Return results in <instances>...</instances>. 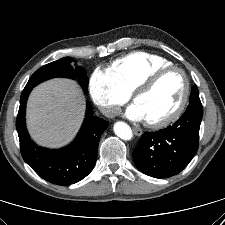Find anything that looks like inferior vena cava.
<instances>
[{"mask_svg":"<svg viewBox=\"0 0 225 225\" xmlns=\"http://www.w3.org/2000/svg\"><path fill=\"white\" fill-rule=\"evenodd\" d=\"M119 107H104L101 109V112L103 115H105L106 117L112 118L115 116V114L118 112Z\"/></svg>","mask_w":225,"mask_h":225,"instance_id":"obj_1","label":"inferior vena cava"}]
</instances>
